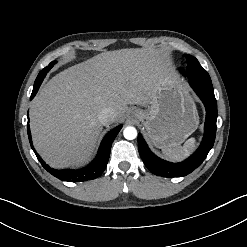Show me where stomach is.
Here are the masks:
<instances>
[{"instance_id": "obj_1", "label": "stomach", "mask_w": 247, "mask_h": 247, "mask_svg": "<svg viewBox=\"0 0 247 247\" xmlns=\"http://www.w3.org/2000/svg\"><path fill=\"white\" fill-rule=\"evenodd\" d=\"M148 139L159 148L177 147L198 127L195 101L179 79L161 84L145 109L134 112Z\"/></svg>"}]
</instances>
